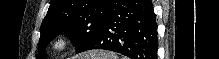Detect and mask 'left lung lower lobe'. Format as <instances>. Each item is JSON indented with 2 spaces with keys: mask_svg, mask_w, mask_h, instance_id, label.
I'll return each instance as SVG.
<instances>
[{
  "mask_svg": "<svg viewBox=\"0 0 219 59\" xmlns=\"http://www.w3.org/2000/svg\"><path fill=\"white\" fill-rule=\"evenodd\" d=\"M104 49L131 59H156L157 24L150 0H113L96 36L77 53Z\"/></svg>",
  "mask_w": 219,
  "mask_h": 59,
  "instance_id": "obj_1",
  "label": "left lung lower lobe"
}]
</instances>
